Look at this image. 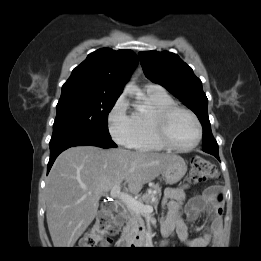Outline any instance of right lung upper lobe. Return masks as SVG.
I'll return each instance as SVG.
<instances>
[{
    "label": "right lung upper lobe",
    "instance_id": "1",
    "mask_svg": "<svg viewBox=\"0 0 261 261\" xmlns=\"http://www.w3.org/2000/svg\"><path fill=\"white\" fill-rule=\"evenodd\" d=\"M137 62L132 50L99 49L73 70L62 95L120 96Z\"/></svg>",
    "mask_w": 261,
    "mask_h": 261
}]
</instances>
